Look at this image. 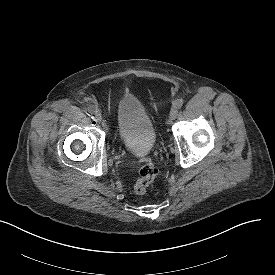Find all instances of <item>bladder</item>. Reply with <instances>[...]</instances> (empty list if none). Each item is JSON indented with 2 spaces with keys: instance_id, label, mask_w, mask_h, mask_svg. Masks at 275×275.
I'll list each match as a JSON object with an SVG mask.
<instances>
[{
  "instance_id": "bladder-1",
  "label": "bladder",
  "mask_w": 275,
  "mask_h": 275,
  "mask_svg": "<svg viewBox=\"0 0 275 275\" xmlns=\"http://www.w3.org/2000/svg\"><path fill=\"white\" fill-rule=\"evenodd\" d=\"M116 129L124 148L134 156L146 155L154 145L156 132L152 119L133 93L123 94L118 101Z\"/></svg>"
}]
</instances>
